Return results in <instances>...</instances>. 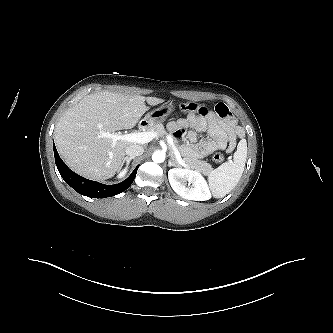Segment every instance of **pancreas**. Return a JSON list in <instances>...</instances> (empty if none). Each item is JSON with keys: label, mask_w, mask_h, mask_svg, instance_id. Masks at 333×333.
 Instances as JSON below:
<instances>
[{"label": "pancreas", "mask_w": 333, "mask_h": 333, "mask_svg": "<svg viewBox=\"0 0 333 333\" xmlns=\"http://www.w3.org/2000/svg\"><path fill=\"white\" fill-rule=\"evenodd\" d=\"M147 131L148 132L149 131L157 132L158 136H160V137H163L167 134L162 123H155V124L149 125L147 127ZM176 147L179 148L178 145H176ZM169 149L171 151V154L174 155L173 147L171 145H169ZM183 160L188 167L196 169L204 174H208L213 169L212 166L210 164H208L206 161L198 160L195 157H191V156L184 157Z\"/></svg>", "instance_id": "obj_1"}]
</instances>
